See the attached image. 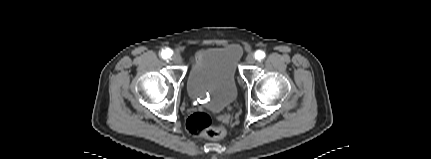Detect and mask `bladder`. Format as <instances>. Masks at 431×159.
<instances>
[{"mask_svg": "<svg viewBox=\"0 0 431 159\" xmlns=\"http://www.w3.org/2000/svg\"><path fill=\"white\" fill-rule=\"evenodd\" d=\"M240 57L236 44L200 52L187 77L190 98L215 112L230 107L238 94L236 68Z\"/></svg>", "mask_w": 431, "mask_h": 159, "instance_id": "bladder-1", "label": "bladder"}]
</instances>
